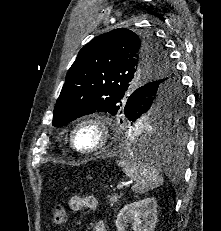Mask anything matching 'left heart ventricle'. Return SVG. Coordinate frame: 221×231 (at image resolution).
<instances>
[{
    "instance_id": "obj_1",
    "label": "left heart ventricle",
    "mask_w": 221,
    "mask_h": 231,
    "mask_svg": "<svg viewBox=\"0 0 221 231\" xmlns=\"http://www.w3.org/2000/svg\"><path fill=\"white\" fill-rule=\"evenodd\" d=\"M100 139V133L96 126L85 125L76 134V143L82 149H91L96 146Z\"/></svg>"
}]
</instances>
